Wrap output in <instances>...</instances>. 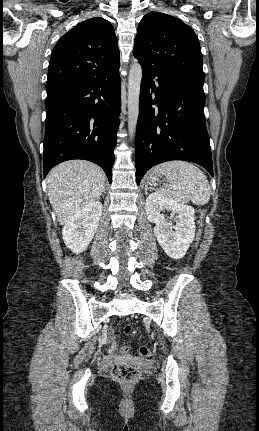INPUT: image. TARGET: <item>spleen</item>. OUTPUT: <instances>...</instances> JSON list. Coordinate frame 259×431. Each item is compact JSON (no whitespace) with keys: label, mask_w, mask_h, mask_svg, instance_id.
I'll list each match as a JSON object with an SVG mask.
<instances>
[{"label":"spleen","mask_w":259,"mask_h":431,"mask_svg":"<svg viewBox=\"0 0 259 431\" xmlns=\"http://www.w3.org/2000/svg\"><path fill=\"white\" fill-rule=\"evenodd\" d=\"M154 173L165 174L169 183L162 188L164 196L178 202H191L201 206L210 199V186L206 175L194 164L186 161H168L157 165Z\"/></svg>","instance_id":"obj_1"}]
</instances>
